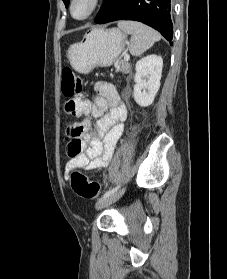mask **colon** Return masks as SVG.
I'll return each mask as SVG.
<instances>
[{
    "label": "colon",
    "instance_id": "5ec220e1",
    "mask_svg": "<svg viewBox=\"0 0 227 279\" xmlns=\"http://www.w3.org/2000/svg\"><path fill=\"white\" fill-rule=\"evenodd\" d=\"M62 93L66 98L65 111L69 115H74L79 107L78 100L82 89L80 78L70 69L62 70ZM79 129L68 127L69 136H77ZM69 156L75 157L80 152L79 143H70L67 147ZM71 185L74 192L83 199H93L100 193V185L96 181L89 179L85 174L74 171L71 176Z\"/></svg>",
    "mask_w": 227,
    "mask_h": 279
}]
</instances>
